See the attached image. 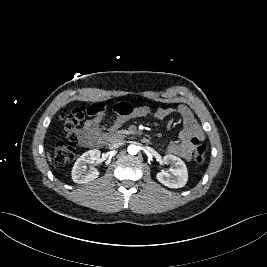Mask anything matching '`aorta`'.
Here are the masks:
<instances>
[{
	"label": "aorta",
	"instance_id": "aorta-1",
	"mask_svg": "<svg viewBox=\"0 0 267 267\" xmlns=\"http://www.w3.org/2000/svg\"><path fill=\"white\" fill-rule=\"evenodd\" d=\"M127 151L130 155H136L139 151V147L137 145L131 144L128 146Z\"/></svg>",
	"mask_w": 267,
	"mask_h": 267
}]
</instances>
